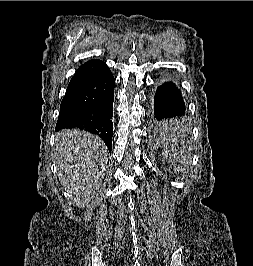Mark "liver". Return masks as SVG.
<instances>
[{"instance_id":"obj_1","label":"liver","mask_w":253,"mask_h":266,"mask_svg":"<svg viewBox=\"0 0 253 266\" xmlns=\"http://www.w3.org/2000/svg\"><path fill=\"white\" fill-rule=\"evenodd\" d=\"M107 148L96 135L80 130H64L55 139L58 177L73 203L84 208L94 198L107 165Z\"/></svg>"}]
</instances>
